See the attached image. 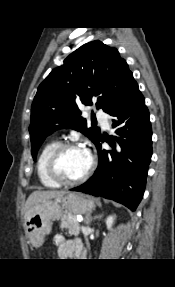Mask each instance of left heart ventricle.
I'll list each match as a JSON object with an SVG mask.
<instances>
[{
  "label": "left heart ventricle",
  "instance_id": "1",
  "mask_svg": "<svg viewBox=\"0 0 175 287\" xmlns=\"http://www.w3.org/2000/svg\"><path fill=\"white\" fill-rule=\"evenodd\" d=\"M90 165L89 153L80 148L68 149L60 157L58 168L66 179H77L85 173Z\"/></svg>",
  "mask_w": 175,
  "mask_h": 287
}]
</instances>
